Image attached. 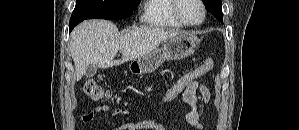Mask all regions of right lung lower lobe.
<instances>
[{
  "label": "right lung lower lobe",
  "instance_id": "98d812e1",
  "mask_svg": "<svg viewBox=\"0 0 299 130\" xmlns=\"http://www.w3.org/2000/svg\"><path fill=\"white\" fill-rule=\"evenodd\" d=\"M80 22L81 20L71 18L69 23L70 31Z\"/></svg>",
  "mask_w": 299,
  "mask_h": 130
}]
</instances>
